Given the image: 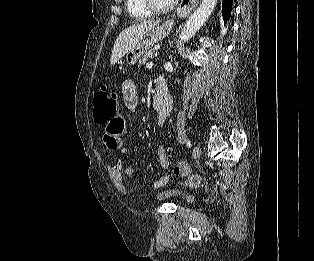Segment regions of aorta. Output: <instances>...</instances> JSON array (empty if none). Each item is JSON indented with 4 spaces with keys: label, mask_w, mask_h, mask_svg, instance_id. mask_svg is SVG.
<instances>
[{
    "label": "aorta",
    "mask_w": 314,
    "mask_h": 261,
    "mask_svg": "<svg viewBox=\"0 0 314 261\" xmlns=\"http://www.w3.org/2000/svg\"><path fill=\"white\" fill-rule=\"evenodd\" d=\"M216 4L217 0H202L198 9L186 21L179 37L180 43L186 42L194 36L210 17Z\"/></svg>",
    "instance_id": "obj_1"
}]
</instances>
